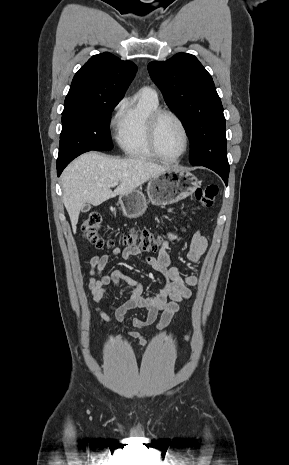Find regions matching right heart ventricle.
Returning <instances> with one entry per match:
<instances>
[{"label":"right heart ventricle","instance_id":"e07e8e85","mask_svg":"<svg viewBox=\"0 0 289 465\" xmlns=\"http://www.w3.org/2000/svg\"><path fill=\"white\" fill-rule=\"evenodd\" d=\"M160 108L157 94L143 88L125 102L117 120V142L123 152L139 160H155L148 143L150 115Z\"/></svg>","mask_w":289,"mask_h":465}]
</instances>
